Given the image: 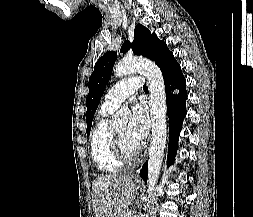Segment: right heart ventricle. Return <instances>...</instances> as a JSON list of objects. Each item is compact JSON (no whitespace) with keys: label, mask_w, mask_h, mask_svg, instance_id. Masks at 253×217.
<instances>
[{"label":"right heart ventricle","mask_w":253,"mask_h":217,"mask_svg":"<svg viewBox=\"0 0 253 217\" xmlns=\"http://www.w3.org/2000/svg\"><path fill=\"white\" fill-rule=\"evenodd\" d=\"M114 110L100 109L99 119L94 125L90 136V152L97 168L107 174H117L124 163L113 153L111 147L112 128L109 118Z\"/></svg>","instance_id":"right-heart-ventricle-1"}]
</instances>
